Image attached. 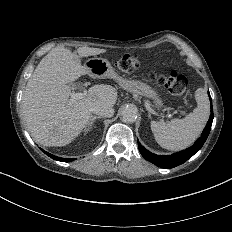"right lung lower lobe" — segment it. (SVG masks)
Masks as SVG:
<instances>
[{"label":"right lung lower lobe","mask_w":232,"mask_h":232,"mask_svg":"<svg viewBox=\"0 0 232 232\" xmlns=\"http://www.w3.org/2000/svg\"><path fill=\"white\" fill-rule=\"evenodd\" d=\"M44 152V151H43ZM45 154H47L48 156H50L51 158H53L54 160L57 161H63V162H71L74 159L71 158H61V157H57L55 155L49 154L48 152H45Z\"/></svg>","instance_id":"right-lung-lower-lobe-1"}]
</instances>
